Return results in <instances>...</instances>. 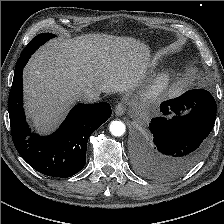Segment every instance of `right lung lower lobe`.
<instances>
[{"mask_svg":"<svg viewBox=\"0 0 224 224\" xmlns=\"http://www.w3.org/2000/svg\"><path fill=\"white\" fill-rule=\"evenodd\" d=\"M34 52L20 56L16 63L8 110L12 139L22 158L35 170L53 177H71L86 164L90 135L111 116L109 103L77 104L59 129L50 136L31 132L23 110V68Z\"/></svg>","mask_w":224,"mask_h":224,"instance_id":"1","label":"right lung lower lobe"}]
</instances>
